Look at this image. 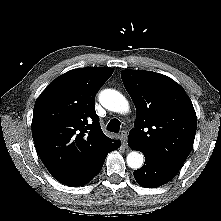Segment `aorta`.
Returning <instances> with one entry per match:
<instances>
[{"label": "aorta", "mask_w": 221, "mask_h": 221, "mask_svg": "<svg viewBox=\"0 0 221 221\" xmlns=\"http://www.w3.org/2000/svg\"><path fill=\"white\" fill-rule=\"evenodd\" d=\"M101 105L113 112L126 113L129 110V104L126 98L118 91L113 89H105L99 94ZM127 165L132 169L142 167L144 157L140 152L132 151L127 155Z\"/></svg>", "instance_id": "aorta-1"}]
</instances>
